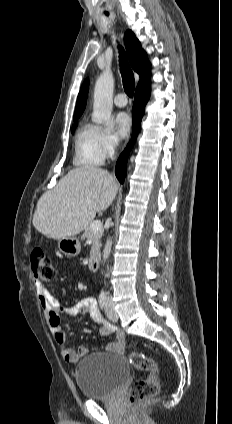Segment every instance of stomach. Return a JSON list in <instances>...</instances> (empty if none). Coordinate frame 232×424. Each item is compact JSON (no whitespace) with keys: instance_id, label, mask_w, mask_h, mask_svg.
Wrapping results in <instances>:
<instances>
[{"instance_id":"stomach-1","label":"stomach","mask_w":232,"mask_h":424,"mask_svg":"<svg viewBox=\"0 0 232 424\" xmlns=\"http://www.w3.org/2000/svg\"><path fill=\"white\" fill-rule=\"evenodd\" d=\"M58 248L67 257H75L80 253L81 244L78 238L71 236L61 239Z\"/></svg>"}]
</instances>
